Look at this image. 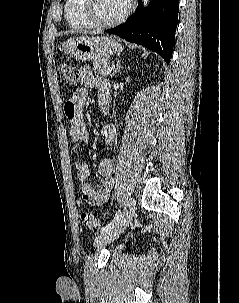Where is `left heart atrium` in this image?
Wrapping results in <instances>:
<instances>
[{"label": "left heart atrium", "mask_w": 239, "mask_h": 303, "mask_svg": "<svg viewBox=\"0 0 239 303\" xmlns=\"http://www.w3.org/2000/svg\"><path fill=\"white\" fill-rule=\"evenodd\" d=\"M131 0H126L127 3H129Z\"/></svg>", "instance_id": "obj_1"}]
</instances>
